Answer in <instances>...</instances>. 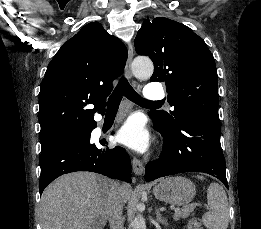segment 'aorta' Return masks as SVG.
I'll use <instances>...</instances> for the list:
<instances>
[{
    "label": "aorta",
    "mask_w": 261,
    "mask_h": 229,
    "mask_svg": "<svg viewBox=\"0 0 261 229\" xmlns=\"http://www.w3.org/2000/svg\"><path fill=\"white\" fill-rule=\"evenodd\" d=\"M132 72L136 78H141V80H147L153 74L154 64L148 56H136L132 62ZM137 207H142V205H137ZM133 229H146V223L143 215H137L134 221H132Z\"/></svg>",
    "instance_id": "obj_1"
}]
</instances>
